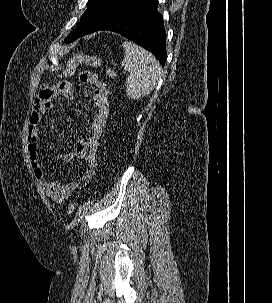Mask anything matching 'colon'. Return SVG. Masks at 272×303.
Segmentation results:
<instances>
[{"mask_svg":"<svg viewBox=\"0 0 272 303\" xmlns=\"http://www.w3.org/2000/svg\"><path fill=\"white\" fill-rule=\"evenodd\" d=\"M80 64H86L91 67H99L101 65L100 59L97 56L94 55H77L71 58L68 63L66 68L62 71L60 74V77H68L70 76L76 67ZM107 76L110 78H115L116 77V71L114 69H107L106 71ZM67 212L68 214H72L74 212V204L70 203L67 206Z\"/></svg>","mask_w":272,"mask_h":303,"instance_id":"colon-1","label":"colon"}]
</instances>
